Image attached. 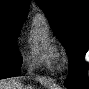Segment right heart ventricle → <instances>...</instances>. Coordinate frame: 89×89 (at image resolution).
<instances>
[{
    "instance_id": "obj_1",
    "label": "right heart ventricle",
    "mask_w": 89,
    "mask_h": 89,
    "mask_svg": "<svg viewBox=\"0 0 89 89\" xmlns=\"http://www.w3.org/2000/svg\"><path fill=\"white\" fill-rule=\"evenodd\" d=\"M31 38L35 43L40 45L50 58L58 57L57 46L51 35L49 24L43 14H37L34 17Z\"/></svg>"
}]
</instances>
